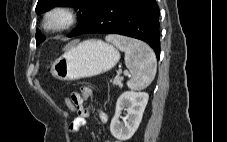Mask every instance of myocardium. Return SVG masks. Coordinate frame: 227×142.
Wrapping results in <instances>:
<instances>
[{
	"label": "myocardium",
	"mask_w": 227,
	"mask_h": 142,
	"mask_svg": "<svg viewBox=\"0 0 227 142\" xmlns=\"http://www.w3.org/2000/svg\"><path fill=\"white\" fill-rule=\"evenodd\" d=\"M78 19L77 10L69 5H57L48 9L42 17L41 30L57 33L71 28Z\"/></svg>",
	"instance_id": "myocardium-1"
}]
</instances>
